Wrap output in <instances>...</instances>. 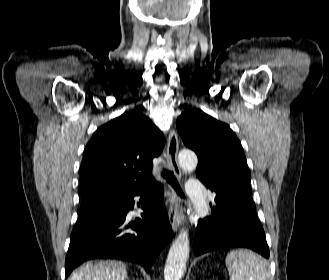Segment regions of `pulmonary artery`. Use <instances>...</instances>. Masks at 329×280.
I'll use <instances>...</instances> for the list:
<instances>
[{"mask_svg":"<svg viewBox=\"0 0 329 280\" xmlns=\"http://www.w3.org/2000/svg\"><path fill=\"white\" fill-rule=\"evenodd\" d=\"M187 194L192 201L204 202L206 188L198 179H192L188 182L186 188Z\"/></svg>","mask_w":329,"mask_h":280,"instance_id":"1","label":"pulmonary artery"}]
</instances>
